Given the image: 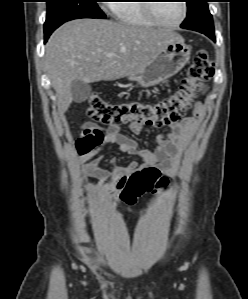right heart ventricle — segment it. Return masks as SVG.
Segmentation results:
<instances>
[{"instance_id":"obj_1","label":"right heart ventricle","mask_w":248,"mask_h":299,"mask_svg":"<svg viewBox=\"0 0 248 299\" xmlns=\"http://www.w3.org/2000/svg\"><path fill=\"white\" fill-rule=\"evenodd\" d=\"M145 0H126L113 3L111 8L118 22L135 27H156L157 24L148 16Z\"/></svg>"}]
</instances>
